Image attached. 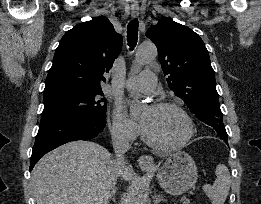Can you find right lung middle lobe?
Here are the masks:
<instances>
[{"instance_id": "1", "label": "right lung middle lobe", "mask_w": 261, "mask_h": 204, "mask_svg": "<svg viewBox=\"0 0 261 204\" xmlns=\"http://www.w3.org/2000/svg\"><path fill=\"white\" fill-rule=\"evenodd\" d=\"M102 90H62L46 93L43 96L44 110L41 118L57 114L91 113L106 115L105 98Z\"/></svg>"}]
</instances>
